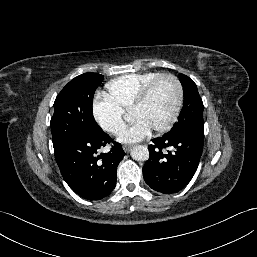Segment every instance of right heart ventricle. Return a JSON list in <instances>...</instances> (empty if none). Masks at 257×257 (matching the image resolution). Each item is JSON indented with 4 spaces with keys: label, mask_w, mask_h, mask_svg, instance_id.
Listing matches in <instances>:
<instances>
[{
    "label": "right heart ventricle",
    "mask_w": 257,
    "mask_h": 257,
    "mask_svg": "<svg viewBox=\"0 0 257 257\" xmlns=\"http://www.w3.org/2000/svg\"><path fill=\"white\" fill-rule=\"evenodd\" d=\"M158 72L127 74L106 84L107 97L123 112L129 111L141 91L156 77Z\"/></svg>",
    "instance_id": "obj_1"
}]
</instances>
